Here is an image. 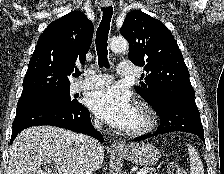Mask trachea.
<instances>
[{
  "mask_svg": "<svg viewBox=\"0 0 224 174\" xmlns=\"http://www.w3.org/2000/svg\"><path fill=\"white\" fill-rule=\"evenodd\" d=\"M103 16L96 33V51L98 55V64L100 67L108 65V34L110 30V22L112 18V7H103ZM81 75L80 71L75 72V76Z\"/></svg>",
  "mask_w": 224,
  "mask_h": 174,
  "instance_id": "1",
  "label": "trachea"
}]
</instances>
